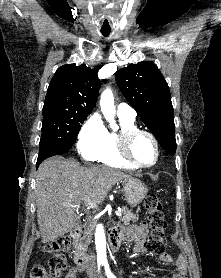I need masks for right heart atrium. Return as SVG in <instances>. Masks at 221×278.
<instances>
[{"label":"right heart atrium","mask_w":221,"mask_h":278,"mask_svg":"<svg viewBox=\"0 0 221 278\" xmlns=\"http://www.w3.org/2000/svg\"><path fill=\"white\" fill-rule=\"evenodd\" d=\"M107 129L98 114L90 116L82 125L77 141L78 152L87 161L97 160L106 139Z\"/></svg>","instance_id":"1"}]
</instances>
